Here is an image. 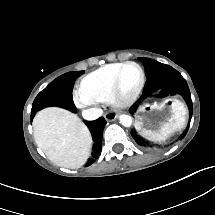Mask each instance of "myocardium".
Returning a JSON list of instances; mask_svg holds the SVG:
<instances>
[{
    "label": "myocardium",
    "mask_w": 215,
    "mask_h": 215,
    "mask_svg": "<svg viewBox=\"0 0 215 215\" xmlns=\"http://www.w3.org/2000/svg\"><path fill=\"white\" fill-rule=\"evenodd\" d=\"M126 66H132L136 68L139 75L138 81L131 93L127 91H122L119 89V81L121 78V73ZM144 84H145V73L142 67L137 62L125 61L123 63H120L119 69H117V72L114 78V82L111 85L112 88L108 92L112 104L120 108L130 107L139 96Z\"/></svg>",
    "instance_id": "myocardium-1"
}]
</instances>
